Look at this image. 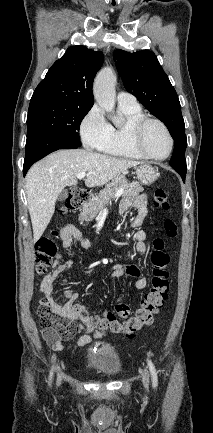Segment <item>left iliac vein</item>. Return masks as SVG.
<instances>
[{
    "instance_id": "4c4485c4",
    "label": "left iliac vein",
    "mask_w": 213,
    "mask_h": 433,
    "mask_svg": "<svg viewBox=\"0 0 213 433\" xmlns=\"http://www.w3.org/2000/svg\"><path fill=\"white\" fill-rule=\"evenodd\" d=\"M142 382L144 387L147 388L149 384V374L146 370L142 372Z\"/></svg>"
}]
</instances>
